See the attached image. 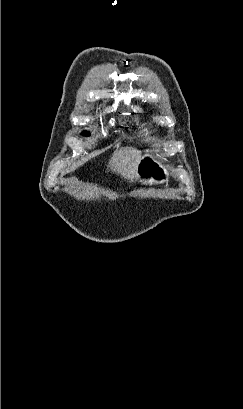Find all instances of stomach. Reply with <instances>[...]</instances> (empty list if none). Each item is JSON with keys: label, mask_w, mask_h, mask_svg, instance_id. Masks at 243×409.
<instances>
[{"label": "stomach", "mask_w": 243, "mask_h": 409, "mask_svg": "<svg viewBox=\"0 0 243 409\" xmlns=\"http://www.w3.org/2000/svg\"><path fill=\"white\" fill-rule=\"evenodd\" d=\"M167 168L150 154L140 157L137 164V178L143 184H163L168 182Z\"/></svg>", "instance_id": "stomach-1"}]
</instances>
